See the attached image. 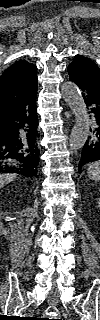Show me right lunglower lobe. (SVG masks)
I'll use <instances>...</instances> for the list:
<instances>
[{
    "label": "right lung lower lobe",
    "instance_id": "right-lung-lower-lobe-1",
    "mask_svg": "<svg viewBox=\"0 0 100 320\" xmlns=\"http://www.w3.org/2000/svg\"><path fill=\"white\" fill-rule=\"evenodd\" d=\"M37 89L16 102L0 105V159H16L19 167H1V172H14L36 177L38 172Z\"/></svg>",
    "mask_w": 100,
    "mask_h": 320
}]
</instances>
